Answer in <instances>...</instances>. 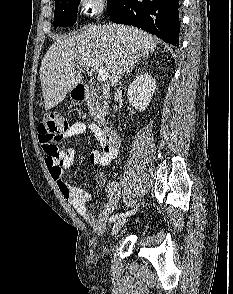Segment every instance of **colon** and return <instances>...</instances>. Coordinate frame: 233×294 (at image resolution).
<instances>
[{
	"label": "colon",
	"mask_w": 233,
	"mask_h": 294,
	"mask_svg": "<svg viewBox=\"0 0 233 294\" xmlns=\"http://www.w3.org/2000/svg\"><path fill=\"white\" fill-rule=\"evenodd\" d=\"M70 127L69 122L57 111L45 113L38 127L39 140L47 156L59 158L58 143Z\"/></svg>",
	"instance_id": "colon-1"
}]
</instances>
